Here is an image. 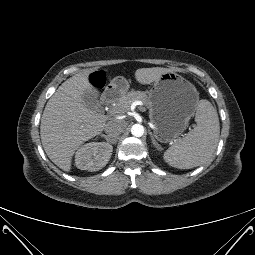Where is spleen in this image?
Returning <instances> with one entry per match:
<instances>
[{
	"instance_id": "spleen-1",
	"label": "spleen",
	"mask_w": 255,
	"mask_h": 255,
	"mask_svg": "<svg viewBox=\"0 0 255 255\" xmlns=\"http://www.w3.org/2000/svg\"><path fill=\"white\" fill-rule=\"evenodd\" d=\"M195 121L194 129L164 153V160L170 166L191 169L210 162L220 135L216 108L208 100H200Z\"/></svg>"
}]
</instances>
